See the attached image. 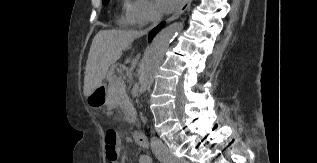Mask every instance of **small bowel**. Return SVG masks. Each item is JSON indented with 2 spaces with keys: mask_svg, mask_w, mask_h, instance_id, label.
I'll return each mask as SVG.
<instances>
[{
  "mask_svg": "<svg viewBox=\"0 0 317 163\" xmlns=\"http://www.w3.org/2000/svg\"><path fill=\"white\" fill-rule=\"evenodd\" d=\"M139 163H152V159L147 154H142L139 157Z\"/></svg>",
  "mask_w": 317,
  "mask_h": 163,
  "instance_id": "1",
  "label": "small bowel"
}]
</instances>
